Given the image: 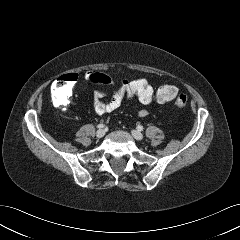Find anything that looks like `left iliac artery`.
<instances>
[{
    "instance_id": "left-iliac-artery-1",
    "label": "left iliac artery",
    "mask_w": 240,
    "mask_h": 240,
    "mask_svg": "<svg viewBox=\"0 0 240 240\" xmlns=\"http://www.w3.org/2000/svg\"><path fill=\"white\" fill-rule=\"evenodd\" d=\"M137 129H138V131H142V130H143V126L138 125V126H137Z\"/></svg>"
}]
</instances>
